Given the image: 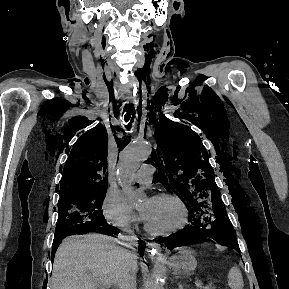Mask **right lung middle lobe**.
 <instances>
[{
	"mask_svg": "<svg viewBox=\"0 0 289 289\" xmlns=\"http://www.w3.org/2000/svg\"><path fill=\"white\" fill-rule=\"evenodd\" d=\"M107 188L60 197L55 236H68L84 225L105 221L101 206Z\"/></svg>",
	"mask_w": 289,
	"mask_h": 289,
	"instance_id": "right-lung-middle-lobe-1",
	"label": "right lung middle lobe"
}]
</instances>
